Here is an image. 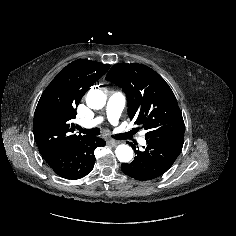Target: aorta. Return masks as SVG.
Returning a JSON list of instances; mask_svg holds the SVG:
<instances>
[{"mask_svg": "<svg viewBox=\"0 0 236 236\" xmlns=\"http://www.w3.org/2000/svg\"><path fill=\"white\" fill-rule=\"evenodd\" d=\"M87 106L91 109H101L106 104V95L99 89H92L86 96ZM115 154L120 162L128 163L133 158V150L129 145H118Z\"/></svg>", "mask_w": 236, "mask_h": 236, "instance_id": "762f6f07", "label": "aorta"}]
</instances>
